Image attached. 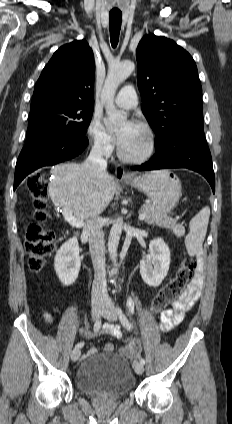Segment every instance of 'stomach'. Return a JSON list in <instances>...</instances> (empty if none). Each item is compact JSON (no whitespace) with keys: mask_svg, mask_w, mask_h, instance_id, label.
<instances>
[{"mask_svg":"<svg viewBox=\"0 0 232 424\" xmlns=\"http://www.w3.org/2000/svg\"><path fill=\"white\" fill-rule=\"evenodd\" d=\"M124 183L145 193L152 206L165 214L177 206L181 197V182L169 170L150 171Z\"/></svg>","mask_w":232,"mask_h":424,"instance_id":"stomach-1","label":"stomach"}]
</instances>
